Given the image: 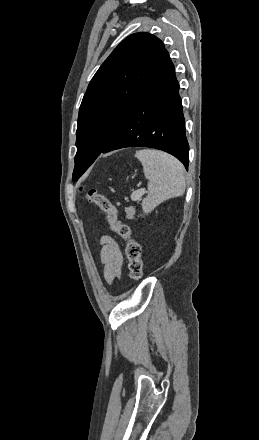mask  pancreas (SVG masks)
Here are the masks:
<instances>
[{
	"instance_id": "pancreas-1",
	"label": "pancreas",
	"mask_w": 259,
	"mask_h": 440,
	"mask_svg": "<svg viewBox=\"0 0 259 440\" xmlns=\"http://www.w3.org/2000/svg\"><path fill=\"white\" fill-rule=\"evenodd\" d=\"M125 212L129 218H132L135 213V209L133 207H129L125 209Z\"/></svg>"
}]
</instances>
